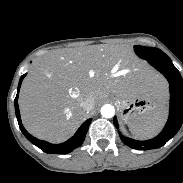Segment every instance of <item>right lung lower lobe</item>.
Here are the masks:
<instances>
[{"instance_id": "98d812e1", "label": "right lung lower lobe", "mask_w": 183, "mask_h": 183, "mask_svg": "<svg viewBox=\"0 0 183 183\" xmlns=\"http://www.w3.org/2000/svg\"><path fill=\"white\" fill-rule=\"evenodd\" d=\"M25 76H26V74L22 75L21 78H20V81H19V84H18L17 95H16V98L14 100L15 112H16V117H17V120H18L20 130L22 131L24 136L31 143L36 145L38 148H40L45 153H49V154H68V153L72 152L75 148L79 147L83 143L92 119L86 120L80 126V128L77 130V132L75 133V135L73 137H71L66 142H63V143H60V144H51L49 142L39 140V139L33 137L31 134H29L25 130V128L22 125L20 112H19V107H18V102H17L18 101V95H19V89H20L22 80Z\"/></svg>"}]
</instances>
